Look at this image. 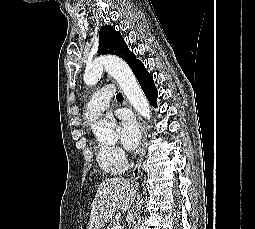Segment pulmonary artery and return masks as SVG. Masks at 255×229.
<instances>
[{"label": "pulmonary artery", "mask_w": 255, "mask_h": 229, "mask_svg": "<svg viewBox=\"0 0 255 229\" xmlns=\"http://www.w3.org/2000/svg\"><path fill=\"white\" fill-rule=\"evenodd\" d=\"M114 95L115 87L112 84H107L95 91L87 105L85 119L88 122H94L108 108L109 100Z\"/></svg>", "instance_id": "1"}]
</instances>
